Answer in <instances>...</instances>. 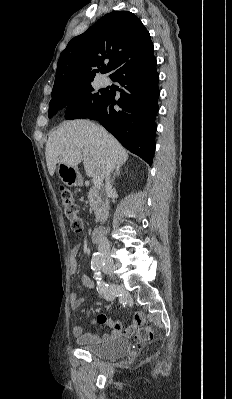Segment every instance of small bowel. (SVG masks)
I'll return each instance as SVG.
<instances>
[{
  "label": "small bowel",
  "mask_w": 232,
  "mask_h": 399,
  "mask_svg": "<svg viewBox=\"0 0 232 399\" xmlns=\"http://www.w3.org/2000/svg\"><path fill=\"white\" fill-rule=\"evenodd\" d=\"M86 258V254L80 251L79 247H74L70 251V263L69 270L70 272H74L77 269L78 263L84 262ZM79 281L82 285H85L90 290H94L93 282L84 275L79 276ZM82 300H80L76 293H71L69 296V309L70 311L77 310L82 305ZM92 322L95 323H104L110 329V334L99 335L96 332H88L84 333L82 327L74 326L72 331L75 337V341L78 345L86 346V345H111L116 342L121 337L122 333H132L139 330L144 323V315L143 313H138L135 315L134 321L131 325L127 327L121 326L119 323L115 322V320L106 314H98L91 317Z\"/></svg>",
  "instance_id": "1"
}]
</instances>
